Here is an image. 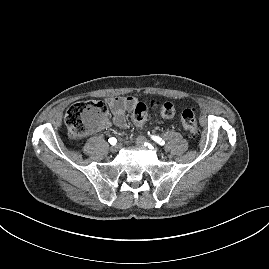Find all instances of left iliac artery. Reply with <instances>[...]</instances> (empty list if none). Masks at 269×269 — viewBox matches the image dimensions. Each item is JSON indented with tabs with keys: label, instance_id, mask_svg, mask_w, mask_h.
I'll use <instances>...</instances> for the list:
<instances>
[{
	"label": "left iliac artery",
	"instance_id": "44dca946",
	"mask_svg": "<svg viewBox=\"0 0 269 269\" xmlns=\"http://www.w3.org/2000/svg\"><path fill=\"white\" fill-rule=\"evenodd\" d=\"M151 138H152V140H154L156 143H158L160 145H164L165 144V142L159 136L152 135Z\"/></svg>",
	"mask_w": 269,
	"mask_h": 269
}]
</instances>
